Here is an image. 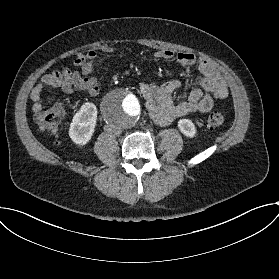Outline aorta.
<instances>
[{"mask_svg": "<svg viewBox=\"0 0 279 279\" xmlns=\"http://www.w3.org/2000/svg\"><path fill=\"white\" fill-rule=\"evenodd\" d=\"M101 111L108 126L124 130L135 126L142 112L140 99L127 88L110 91L103 99Z\"/></svg>", "mask_w": 279, "mask_h": 279, "instance_id": "1", "label": "aorta"}]
</instances>
